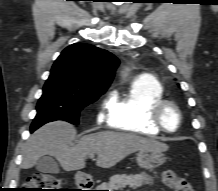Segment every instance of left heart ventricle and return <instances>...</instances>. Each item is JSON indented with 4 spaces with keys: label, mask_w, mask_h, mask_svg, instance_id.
Returning a JSON list of instances; mask_svg holds the SVG:
<instances>
[{
    "label": "left heart ventricle",
    "mask_w": 218,
    "mask_h": 191,
    "mask_svg": "<svg viewBox=\"0 0 218 191\" xmlns=\"http://www.w3.org/2000/svg\"><path fill=\"white\" fill-rule=\"evenodd\" d=\"M162 122L168 130H174L179 122L176 110L172 107H167L162 113Z\"/></svg>",
    "instance_id": "1"
}]
</instances>
